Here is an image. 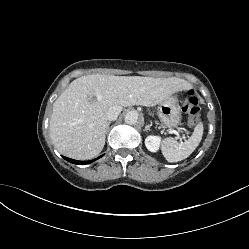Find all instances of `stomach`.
<instances>
[{"label":"stomach","mask_w":249,"mask_h":249,"mask_svg":"<svg viewBox=\"0 0 249 249\" xmlns=\"http://www.w3.org/2000/svg\"><path fill=\"white\" fill-rule=\"evenodd\" d=\"M158 118L163 126L175 128L181 122V112L178 99L174 96L168 97L158 106Z\"/></svg>","instance_id":"stomach-1"}]
</instances>
